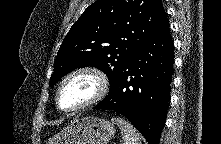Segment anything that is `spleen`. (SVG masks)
Listing matches in <instances>:
<instances>
[{
  "label": "spleen",
  "instance_id": "obj_1",
  "mask_svg": "<svg viewBox=\"0 0 221 144\" xmlns=\"http://www.w3.org/2000/svg\"><path fill=\"white\" fill-rule=\"evenodd\" d=\"M111 121L120 127L124 144H141L140 134L129 122L119 117H113Z\"/></svg>",
  "mask_w": 221,
  "mask_h": 144
}]
</instances>
